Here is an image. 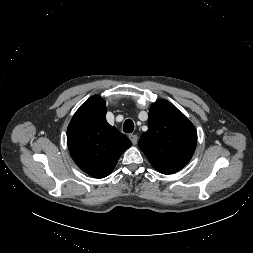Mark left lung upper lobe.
I'll return each mask as SVG.
<instances>
[{"mask_svg":"<svg viewBox=\"0 0 253 253\" xmlns=\"http://www.w3.org/2000/svg\"><path fill=\"white\" fill-rule=\"evenodd\" d=\"M196 143L194 125L174 105L166 100L152 104L139 147L158 172L172 174L185 167Z\"/></svg>","mask_w":253,"mask_h":253,"instance_id":"1","label":"left lung upper lobe"}]
</instances>
